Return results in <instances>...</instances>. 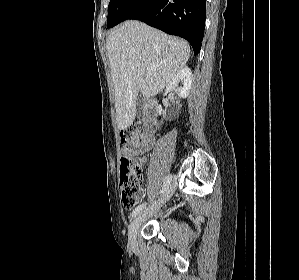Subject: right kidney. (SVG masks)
I'll list each match as a JSON object with an SVG mask.
<instances>
[{"mask_svg": "<svg viewBox=\"0 0 299 280\" xmlns=\"http://www.w3.org/2000/svg\"><path fill=\"white\" fill-rule=\"evenodd\" d=\"M192 77H193V75H192L190 68L184 67L169 82V84L167 85V88H166L165 95L170 91H176V93L178 94V96L180 98H186L189 95V92H190V89L192 86ZM179 82H182L183 87L175 90V87ZM158 113L159 114L162 113L161 105L158 107Z\"/></svg>", "mask_w": 299, "mask_h": 280, "instance_id": "obj_1", "label": "right kidney"}]
</instances>
